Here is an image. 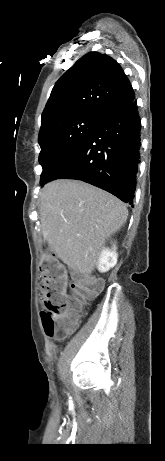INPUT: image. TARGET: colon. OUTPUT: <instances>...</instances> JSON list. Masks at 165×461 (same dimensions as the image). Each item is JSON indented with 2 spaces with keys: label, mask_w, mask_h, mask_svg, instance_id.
<instances>
[{
  "label": "colon",
  "mask_w": 165,
  "mask_h": 461,
  "mask_svg": "<svg viewBox=\"0 0 165 461\" xmlns=\"http://www.w3.org/2000/svg\"><path fill=\"white\" fill-rule=\"evenodd\" d=\"M40 272L44 330L50 338H66L75 330L82 306L100 290V283L93 280L71 283L66 268L52 255L42 258ZM69 288L74 290L73 296L67 294Z\"/></svg>",
  "instance_id": "obj_1"
}]
</instances>
